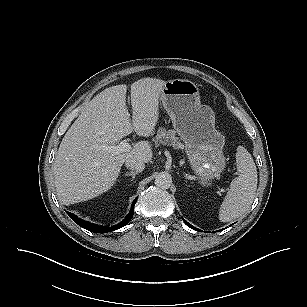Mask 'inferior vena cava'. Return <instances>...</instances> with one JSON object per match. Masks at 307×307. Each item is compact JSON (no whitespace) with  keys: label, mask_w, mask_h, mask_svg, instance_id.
<instances>
[{"label":"inferior vena cava","mask_w":307,"mask_h":307,"mask_svg":"<svg viewBox=\"0 0 307 307\" xmlns=\"http://www.w3.org/2000/svg\"><path fill=\"white\" fill-rule=\"evenodd\" d=\"M125 166L131 170H135L136 172H142L145 168L144 162L136 158H128L125 161Z\"/></svg>","instance_id":"inferior-vena-cava-1"}]
</instances>
